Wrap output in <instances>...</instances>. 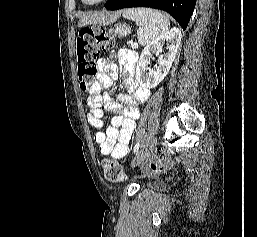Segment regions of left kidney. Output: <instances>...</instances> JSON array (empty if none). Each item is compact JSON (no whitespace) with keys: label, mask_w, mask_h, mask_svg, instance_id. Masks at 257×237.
I'll return each instance as SVG.
<instances>
[{"label":"left kidney","mask_w":257,"mask_h":237,"mask_svg":"<svg viewBox=\"0 0 257 237\" xmlns=\"http://www.w3.org/2000/svg\"><path fill=\"white\" fill-rule=\"evenodd\" d=\"M180 42V30L172 28L144 48L136 66V79L142 87L154 88L165 78L175 59ZM165 43L167 44V52L161 54ZM152 54L158 56V65L154 69H149L148 65Z\"/></svg>","instance_id":"5707ae66"}]
</instances>
